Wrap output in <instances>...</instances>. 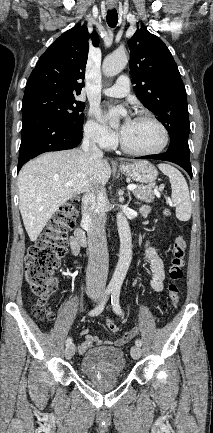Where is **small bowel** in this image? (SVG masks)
Returning a JSON list of instances; mask_svg holds the SVG:
<instances>
[{
    "label": "small bowel",
    "mask_w": 213,
    "mask_h": 433,
    "mask_svg": "<svg viewBox=\"0 0 213 433\" xmlns=\"http://www.w3.org/2000/svg\"><path fill=\"white\" fill-rule=\"evenodd\" d=\"M141 212L146 214L148 212L147 207H142ZM70 250L71 253L77 256L80 253V245L74 239V236L70 239ZM145 258L149 264L151 276H150V287L154 292H161L164 289L165 271L164 263L158 252L150 245H147L145 250ZM137 334V329L133 328L126 332L123 337L116 341V344L122 345L128 342ZM81 335L84 337V341L79 345L78 351L84 353L89 350L95 343L98 342V338L92 335L88 330H83ZM109 344V342H105Z\"/></svg>",
    "instance_id": "small-bowel-1"
}]
</instances>
